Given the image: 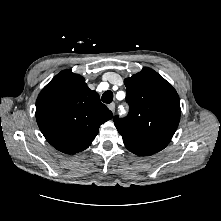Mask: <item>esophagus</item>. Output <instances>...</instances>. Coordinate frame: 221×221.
I'll list each match as a JSON object with an SVG mask.
<instances>
[{
    "label": "esophagus",
    "instance_id": "obj_1",
    "mask_svg": "<svg viewBox=\"0 0 221 221\" xmlns=\"http://www.w3.org/2000/svg\"><path fill=\"white\" fill-rule=\"evenodd\" d=\"M108 108H109L112 112H114V111H115V103H110V104L108 105Z\"/></svg>",
    "mask_w": 221,
    "mask_h": 221
}]
</instances>
